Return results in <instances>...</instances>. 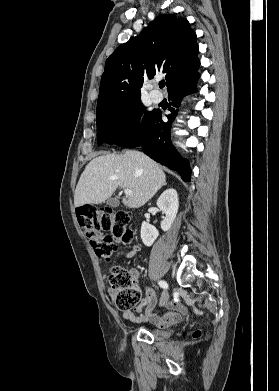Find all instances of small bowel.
Masks as SVG:
<instances>
[{"label":"small bowel","mask_w":279,"mask_h":391,"mask_svg":"<svg viewBox=\"0 0 279 391\" xmlns=\"http://www.w3.org/2000/svg\"><path fill=\"white\" fill-rule=\"evenodd\" d=\"M139 250L140 246L138 244L132 245L125 254V258H132ZM131 275L133 278H136L137 272L132 271ZM156 304L157 297L154 289L145 287L144 297L141 302L135 307L134 311H125L123 316L133 323H151L158 328H167L178 323L182 316L187 313V308L177 300L167 301L165 304L167 312L164 315L153 311Z\"/></svg>","instance_id":"c3829d8e"}]
</instances>
